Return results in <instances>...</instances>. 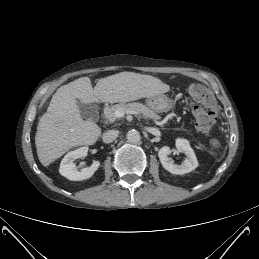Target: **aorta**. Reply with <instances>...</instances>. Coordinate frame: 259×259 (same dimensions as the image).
<instances>
[{
  "instance_id": "762f6f07",
  "label": "aorta",
  "mask_w": 259,
  "mask_h": 259,
  "mask_svg": "<svg viewBox=\"0 0 259 259\" xmlns=\"http://www.w3.org/2000/svg\"><path fill=\"white\" fill-rule=\"evenodd\" d=\"M126 137L130 143H138L140 141V133L137 130L128 131Z\"/></svg>"
}]
</instances>
